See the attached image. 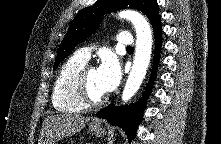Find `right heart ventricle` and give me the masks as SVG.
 Returning a JSON list of instances; mask_svg holds the SVG:
<instances>
[{
	"label": "right heart ventricle",
	"mask_w": 221,
	"mask_h": 144,
	"mask_svg": "<svg viewBox=\"0 0 221 144\" xmlns=\"http://www.w3.org/2000/svg\"><path fill=\"white\" fill-rule=\"evenodd\" d=\"M87 61L74 54L61 66L54 82L52 104L61 113H78L87 108L77 97L75 82Z\"/></svg>",
	"instance_id": "e07e8e85"
}]
</instances>
